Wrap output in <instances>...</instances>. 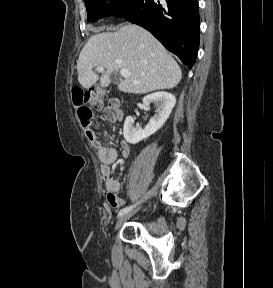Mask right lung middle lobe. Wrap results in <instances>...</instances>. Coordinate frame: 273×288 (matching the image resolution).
Masks as SVG:
<instances>
[{
  "mask_svg": "<svg viewBox=\"0 0 273 288\" xmlns=\"http://www.w3.org/2000/svg\"><path fill=\"white\" fill-rule=\"evenodd\" d=\"M138 0H84L89 22L106 16L122 17Z\"/></svg>",
  "mask_w": 273,
  "mask_h": 288,
  "instance_id": "right-lung-middle-lobe-1",
  "label": "right lung middle lobe"
}]
</instances>
